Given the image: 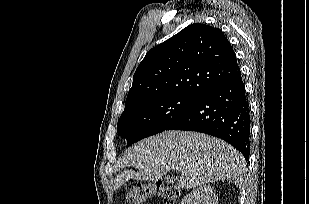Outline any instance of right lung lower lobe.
Listing matches in <instances>:
<instances>
[{
    "label": "right lung lower lobe",
    "instance_id": "right-lung-lower-lobe-1",
    "mask_svg": "<svg viewBox=\"0 0 309 204\" xmlns=\"http://www.w3.org/2000/svg\"><path fill=\"white\" fill-rule=\"evenodd\" d=\"M250 109L241 71L231 80L214 86L166 130L197 131L221 138L250 155Z\"/></svg>",
    "mask_w": 309,
    "mask_h": 204
}]
</instances>
